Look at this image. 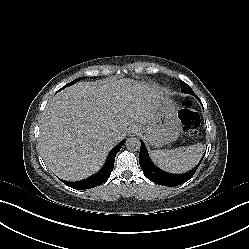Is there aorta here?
<instances>
[{
	"label": "aorta",
	"mask_w": 249,
	"mask_h": 249,
	"mask_svg": "<svg viewBox=\"0 0 249 249\" xmlns=\"http://www.w3.org/2000/svg\"><path fill=\"white\" fill-rule=\"evenodd\" d=\"M140 145V140L135 137L128 138L125 143L126 148L130 151H137L140 149Z\"/></svg>",
	"instance_id": "aorta-1"
}]
</instances>
